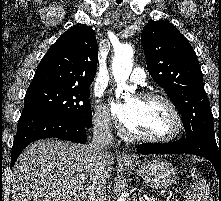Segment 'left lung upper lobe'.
<instances>
[{
	"mask_svg": "<svg viewBox=\"0 0 221 201\" xmlns=\"http://www.w3.org/2000/svg\"><path fill=\"white\" fill-rule=\"evenodd\" d=\"M147 67L183 117L186 133L215 140L213 115L200 65L188 40L167 21L148 22L141 36Z\"/></svg>",
	"mask_w": 221,
	"mask_h": 201,
	"instance_id": "1",
	"label": "left lung upper lobe"
}]
</instances>
